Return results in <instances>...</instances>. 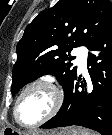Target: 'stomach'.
<instances>
[{
  "label": "stomach",
  "mask_w": 112,
  "mask_h": 135,
  "mask_svg": "<svg viewBox=\"0 0 112 135\" xmlns=\"http://www.w3.org/2000/svg\"><path fill=\"white\" fill-rule=\"evenodd\" d=\"M81 130L76 128H65L58 132H45V131H38V132H30L27 134H22L21 132L14 130L12 128H5L2 132V135H80Z\"/></svg>",
  "instance_id": "obj_1"
}]
</instances>
